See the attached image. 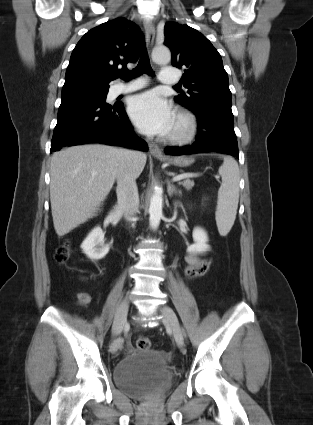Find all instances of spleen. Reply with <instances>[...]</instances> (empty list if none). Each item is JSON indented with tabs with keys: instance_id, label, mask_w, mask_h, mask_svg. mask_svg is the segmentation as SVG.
Masks as SVG:
<instances>
[{
	"instance_id": "1",
	"label": "spleen",
	"mask_w": 313,
	"mask_h": 425,
	"mask_svg": "<svg viewBox=\"0 0 313 425\" xmlns=\"http://www.w3.org/2000/svg\"><path fill=\"white\" fill-rule=\"evenodd\" d=\"M223 164L219 168L222 184L218 191L216 224L221 236H226L231 230L239 202V167L231 156H222Z\"/></svg>"
}]
</instances>
